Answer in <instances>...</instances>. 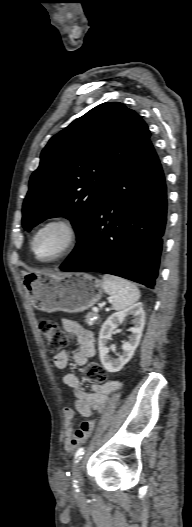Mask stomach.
Returning a JSON list of instances; mask_svg holds the SVG:
<instances>
[{
	"label": "stomach",
	"mask_w": 192,
	"mask_h": 527,
	"mask_svg": "<svg viewBox=\"0 0 192 527\" xmlns=\"http://www.w3.org/2000/svg\"><path fill=\"white\" fill-rule=\"evenodd\" d=\"M24 284L34 307L48 313L85 311L103 294L101 281L85 273H29Z\"/></svg>",
	"instance_id": "stomach-1"
}]
</instances>
